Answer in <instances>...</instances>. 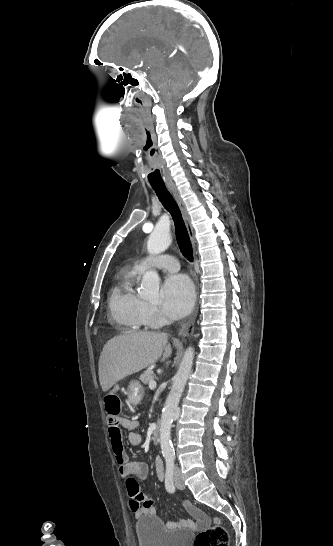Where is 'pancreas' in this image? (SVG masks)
<instances>
[{"label":"pancreas","mask_w":333,"mask_h":546,"mask_svg":"<svg viewBox=\"0 0 333 546\" xmlns=\"http://www.w3.org/2000/svg\"><path fill=\"white\" fill-rule=\"evenodd\" d=\"M154 378H155V374H154L152 368H148L140 376V380L146 385L149 384L150 381L154 380Z\"/></svg>","instance_id":"1"}]
</instances>
